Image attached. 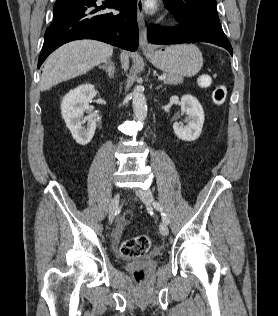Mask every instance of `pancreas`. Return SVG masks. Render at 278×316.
<instances>
[{"label": "pancreas", "mask_w": 278, "mask_h": 316, "mask_svg": "<svg viewBox=\"0 0 278 316\" xmlns=\"http://www.w3.org/2000/svg\"><path fill=\"white\" fill-rule=\"evenodd\" d=\"M164 83L165 84H171V85H177L183 82L182 76L174 75V74H168L165 75Z\"/></svg>", "instance_id": "cf45deb5"}]
</instances>
